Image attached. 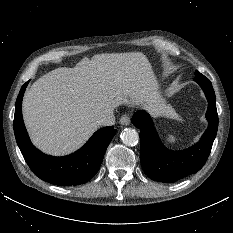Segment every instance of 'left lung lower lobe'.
I'll return each instance as SVG.
<instances>
[{"instance_id": "left-lung-lower-lobe-1", "label": "left lung lower lobe", "mask_w": 233, "mask_h": 233, "mask_svg": "<svg viewBox=\"0 0 233 233\" xmlns=\"http://www.w3.org/2000/svg\"><path fill=\"white\" fill-rule=\"evenodd\" d=\"M208 100L206 118L208 128L199 143L184 151H170L161 143L148 113L143 110L132 117L139 128L141 149L140 161L145 174L154 181L173 183L199 171L205 164L217 134L218 115L215 93L209 79L198 80Z\"/></svg>"}]
</instances>
